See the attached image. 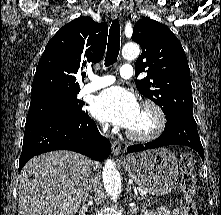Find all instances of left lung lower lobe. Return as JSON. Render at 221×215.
<instances>
[{"label": "left lung lower lobe", "mask_w": 221, "mask_h": 215, "mask_svg": "<svg viewBox=\"0 0 221 215\" xmlns=\"http://www.w3.org/2000/svg\"><path fill=\"white\" fill-rule=\"evenodd\" d=\"M167 145H185L196 150L204 162V150L197 131L194 118H172L167 120L162 135L153 142L144 145H133L127 148L130 152H140Z\"/></svg>", "instance_id": "0a47b994"}]
</instances>
